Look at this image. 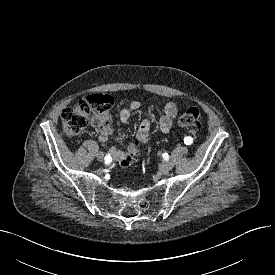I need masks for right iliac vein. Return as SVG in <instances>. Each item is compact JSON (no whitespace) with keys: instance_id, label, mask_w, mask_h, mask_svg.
Returning a JSON list of instances; mask_svg holds the SVG:
<instances>
[{"instance_id":"obj_1","label":"right iliac vein","mask_w":275,"mask_h":275,"mask_svg":"<svg viewBox=\"0 0 275 275\" xmlns=\"http://www.w3.org/2000/svg\"><path fill=\"white\" fill-rule=\"evenodd\" d=\"M97 159H98L99 161H103V160H104V154H103L102 152H98V153H97Z\"/></svg>"}]
</instances>
